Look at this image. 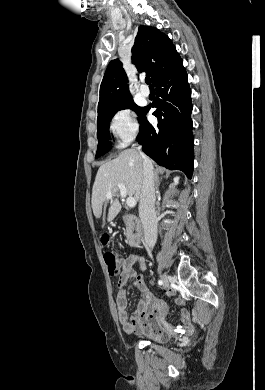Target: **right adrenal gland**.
<instances>
[{"instance_id": "2a0ac1e0", "label": "right adrenal gland", "mask_w": 265, "mask_h": 390, "mask_svg": "<svg viewBox=\"0 0 265 390\" xmlns=\"http://www.w3.org/2000/svg\"><path fill=\"white\" fill-rule=\"evenodd\" d=\"M159 182H160V178H159L158 172L156 170V172H155V183L158 184Z\"/></svg>"}]
</instances>
